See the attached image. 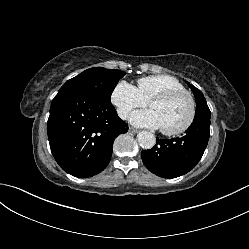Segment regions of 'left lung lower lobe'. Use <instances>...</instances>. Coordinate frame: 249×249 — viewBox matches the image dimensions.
Listing matches in <instances>:
<instances>
[{
  "mask_svg": "<svg viewBox=\"0 0 249 249\" xmlns=\"http://www.w3.org/2000/svg\"><path fill=\"white\" fill-rule=\"evenodd\" d=\"M210 117L194 118L182 137L159 139L141 153L145 166L164 178H175L192 170L201 159L210 135Z\"/></svg>",
  "mask_w": 249,
  "mask_h": 249,
  "instance_id": "1",
  "label": "left lung lower lobe"
}]
</instances>
